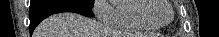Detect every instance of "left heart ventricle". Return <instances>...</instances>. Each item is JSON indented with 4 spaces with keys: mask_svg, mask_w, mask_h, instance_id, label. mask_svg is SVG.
Here are the masks:
<instances>
[{
    "mask_svg": "<svg viewBox=\"0 0 219 37\" xmlns=\"http://www.w3.org/2000/svg\"><path fill=\"white\" fill-rule=\"evenodd\" d=\"M156 22H167L171 17V9L165 0H158L157 7L150 13Z\"/></svg>",
    "mask_w": 219,
    "mask_h": 37,
    "instance_id": "b2bd125f",
    "label": "left heart ventricle"
}]
</instances>
